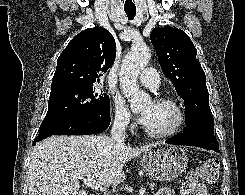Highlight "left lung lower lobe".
<instances>
[{"mask_svg":"<svg viewBox=\"0 0 245 195\" xmlns=\"http://www.w3.org/2000/svg\"><path fill=\"white\" fill-rule=\"evenodd\" d=\"M166 143L197 146L220 152L218 141L214 136V129L200 124L188 125L182 134L168 139Z\"/></svg>","mask_w":245,"mask_h":195,"instance_id":"0a47b994","label":"left lung lower lobe"}]
</instances>
